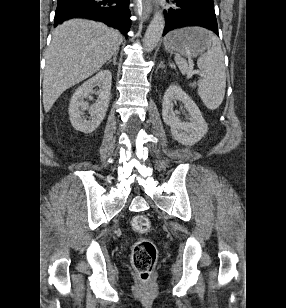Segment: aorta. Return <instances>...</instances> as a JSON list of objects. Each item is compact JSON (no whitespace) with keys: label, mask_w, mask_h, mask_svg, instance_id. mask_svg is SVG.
<instances>
[{"label":"aorta","mask_w":286,"mask_h":308,"mask_svg":"<svg viewBox=\"0 0 286 308\" xmlns=\"http://www.w3.org/2000/svg\"><path fill=\"white\" fill-rule=\"evenodd\" d=\"M164 27H165L164 16L162 14V11H160L157 8L144 35L143 48L146 52L153 51L155 47L158 45V42L160 41L161 36L163 34Z\"/></svg>","instance_id":"1"}]
</instances>
